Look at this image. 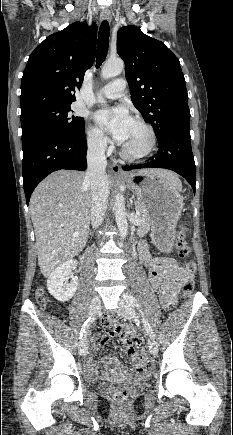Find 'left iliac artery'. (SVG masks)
I'll use <instances>...</instances> for the list:
<instances>
[{"label": "left iliac artery", "instance_id": "left-iliac-artery-1", "mask_svg": "<svg viewBox=\"0 0 233 435\" xmlns=\"http://www.w3.org/2000/svg\"><path fill=\"white\" fill-rule=\"evenodd\" d=\"M125 300H126V301L131 305V306H134V307H136L137 309H139V311L141 312L142 317H143L142 320H143V324H144V327H145V329H146V332L148 333V335H149L151 338H154L153 330H152V328H151L149 322H148L147 319L145 318L144 313H143V311H142V308H141L140 304L137 302V300H136L132 295H130V294H126V295H125Z\"/></svg>", "mask_w": 233, "mask_h": 435}]
</instances>
